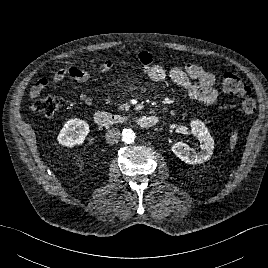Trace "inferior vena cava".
Returning <instances> with one entry per match:
<instances>
[{
  "mask_svg": "<svg viewBox=\"0 0 268 268\" xmlns=\"http://www.w3.org/2000/svg\"><path fill=\"white\" fill-rule=\"evenodd\" d=\"M120 137H121V133L116 128H112V129L108 130L105 134V139H106L107 143H109V144L118 143L120 140Z\"/></svg>",
  "mask_w": 268,
  "mask_h": 268,
  "instance_id": "inferior-vena-cava-1",
  "label": "inferior vena cava"
}]
</instances>
